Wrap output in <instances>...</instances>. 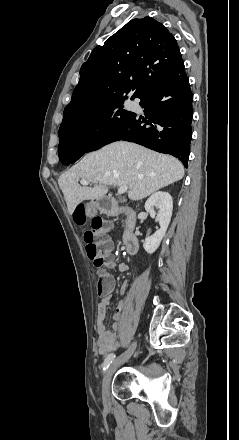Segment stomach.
<instances>
[{
    "label": "stomach",
    "mask_w": 239,
    "mask_h": 440,
    "mask_svg": "<svg viewBox=\"0 0 239 440\" xmlns=\"http://www.w3.org/2000/svg\"><path fill=\"white\" fill-rule=\"evenodd\" d=\"M97 210H100L99 200H91L85 208L87 218H93L97 214Z\"/></svg>",
    "instance_id": "1"
}]
</instances>
